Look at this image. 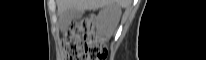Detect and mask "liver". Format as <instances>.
I'll return each instance as SVG.
<instances>
[{
	"instance_id": "6515ba94",
	"label": "liver",
	"mask_w": 206,
	"mask_h": 60,
	"mask_svg": "<svg viewBox=\"0 0 206 60\" xmlns=\"http://www.w3.org/2000/svg\"><path fill=\"white\" fill-rule=\"evenodd\" d=\"M125 4L126 0H57L58 12L60 15L68 9L95 10L105 6H115L117 9L120 10V8L124 7ZM120 15L121 11L115 17L112 27L110 28V35L116 28L120 19Z\"/></svg>"
}]
</instances>
